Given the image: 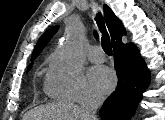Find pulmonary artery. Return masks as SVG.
Wrapping results in <instances>:
<instances>
[{
	"instance_id": "obj_1",
	"label": "pulmonary artery",
	"mask_w": 165,
	"mask_h": 120,
	"mask_svg": "<svg viewBox=\"0 0 165 120\" xmlns=\"http://www.w3.org/2000/svg\"><path fill=\"white\" fill-rule=\"evenodd\" d=\"M88 57L92 62H103L105 60L103 50L99 46L92 47L88 52Z\"/></svg>"
}]
</instances>
